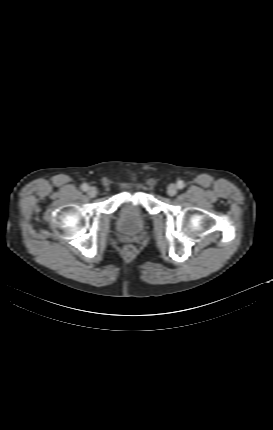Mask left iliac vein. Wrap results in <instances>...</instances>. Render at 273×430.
Instances as JSON below:
<instances>
[{"label": "left iliac vein", "instance_id": "4c4485c4", "mask_svg": "<svg viewBox=\"0 0 273 430\" xmlns=\"http://www.w3.org/2000/svg\"><path fill=\"white\" fill-rule=\"evenodd\" d=\"M177 186L174 184H170L167 188V193L169 196H175L177 194Z\"/></svg>", "mask_w": 273, "mask_h": 430}]
</instances>
